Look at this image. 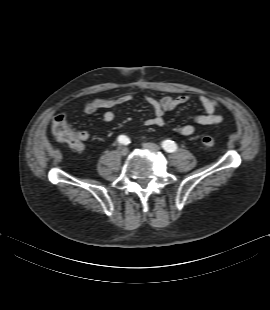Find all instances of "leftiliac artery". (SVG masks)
Masks as SVG:
<instances>
[{"label":"left iliac artery","instance_id":"44dca946","mask_svg":"<svg viewBox=\"0 0 270 310\" xmlns=\"http://www.w3.org/2000/svg\"><path fill=\"white\" fill-rule=\"evenodd\" d=\"M162 147L167 152H174L177 149V145L174 141L165 140L162 142Z\"/></svg>","mask_w":270,"mask_h":310}]
</instances>
